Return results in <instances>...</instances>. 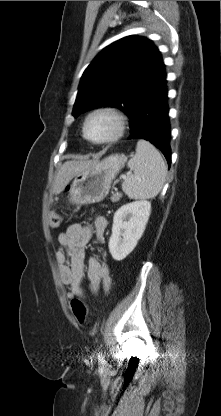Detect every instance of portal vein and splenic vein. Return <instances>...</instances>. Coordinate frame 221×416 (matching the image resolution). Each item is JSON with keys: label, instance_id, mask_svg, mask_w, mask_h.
Segmentation results:
<instances>
[{"label": "portal vein and splenic vein", "instance_id": "1", "mask_svg": "<svg viewBox=\"0 0 221 416\" xmlns=\"http://www.w3.org/2000/svg\"><path fill=\"white\" fill-rule=\"evenodd\" d=\"M122 178H123V179H125V178H126V176H122Z\"/></svg>", "mask_w": 221, "mask_h": 416}]
</instances>
